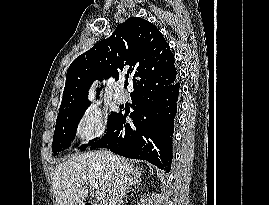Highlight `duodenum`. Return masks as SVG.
<instances>
[{"label":"duodenum","instance_id":"410a0bca","mask_svg":"<svg viewBox=\"0 0 269 205\" xmlns=\"http://www.w3.org/2000/svg\"><path fill=\"white\" fill-rule=\"evenodd\" d=\"M84 205H98V204H94L93 202H87Z\"/></svg>","mask_w":269,"mask_h":205}]
</instances>
